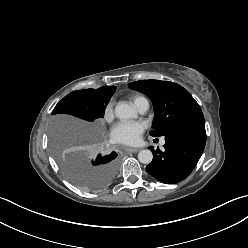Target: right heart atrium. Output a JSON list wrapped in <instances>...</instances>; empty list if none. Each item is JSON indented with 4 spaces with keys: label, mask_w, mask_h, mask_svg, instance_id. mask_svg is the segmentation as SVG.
<instances>
[{
    "label": "right heart atrium",
    "mask_w": 248,
    "mask_h": 248,
    "mask_svg": "<svg viewBox=\"0 0 248 248\" xmlns=\"http://www.w3.org/2000/svg\"><path fill=\"white\" fill-rule=\"evenodd\" d=\"M114 118V110L111 102L107 103L103 110V119L107 122L112 121Z\"/></svg>",
    "instance_id": "1"
}]
</instances>
